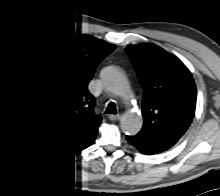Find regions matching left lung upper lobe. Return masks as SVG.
<instances>
[{"mask_svg": "<svg viewBox=\"0 0 220 196\" xmlns=\"http://www.w3.org/2000/svg\"><path fill=\"white\" fill-rule=\"evenodd\" d=\"M145 97L144 126L138 133L167 150L186 132L196 108V86L190 71L162 48L141 43L126 48Z\"/></svg>", "mask_w": 220, "mask_h": 196, "instance_id": "left-lung-upper-lobe-1", "label": "left lung upper lobe"}]
</instances>
